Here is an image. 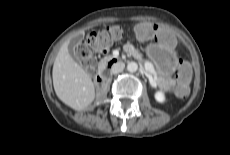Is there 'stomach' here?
<instances>
[{
    "label": "stomach",
    "instance_id": "0dacf381",
    "mask_svg": "<svg viewBox=\"0 0 230 155\" xmlns=\"http://www.w3.org/2000/svg\"><path fill=\"white\" fill-rule=\"evenodd\" d=\"M146 54L154 63L160 79L172 74L175 69L176 56L170 48L166 49L160 44H152L146 48Z\"/></svg>",
    "mask_w": 230,
    "mask_h": 155
}]
</instances>
